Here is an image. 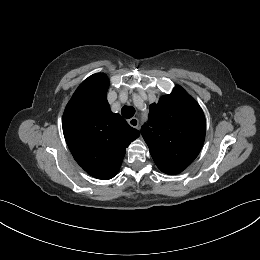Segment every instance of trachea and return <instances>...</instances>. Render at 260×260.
<instances>
[{
  "label": "trachea",
  "instance_id": "trachea-1",
  "mask_svg": "<svg viewBox=\"0 0 260 260\" xmlns=\"http://www.w3.org/2000/svg\"><path fill=\"white\" fill-rule=\"evenodd\" d=\"M123 117L129 119L135 114V109L132 106H123L121 109Z\"/></svg>",
  "mask_w": 260,
  "mask_h": 260
}]
</instances>
